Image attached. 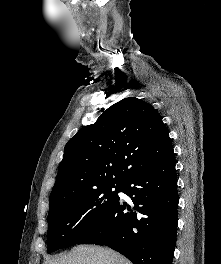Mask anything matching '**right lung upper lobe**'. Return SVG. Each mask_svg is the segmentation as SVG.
I'll return each mask as SVG.
<instances>
[{"label":"right lung upper lobe","instance_id":"cb5924a9","mask_svg":"<svg viewBox=\"0 0 221 264\" xmlns=\"http://www.w3.org/2000/svg\"><path fill=\"white\" fill-rule=\"evenodd\" d=\"M173 154L168 130L152 105L125 98L68 141L49 197V211L72 194L122 183Z\"/></svg>","mask_w":221,"mask_h":264}]
</instances>
